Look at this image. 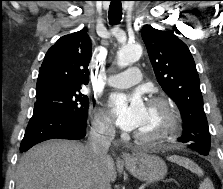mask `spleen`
<instances>
[{"label": "spleen", "mask_w": 223, "mask_h": 189, "mask_svg": "<svg viewBox=\"0 0 223 189\" xmlns=\"http://www.w3.org/2000/svg\"><path fill=\"white\" fill-rule=\"evenodd\" d=\"M168 160L174 162L180 166L185 167L186 169L190 170L191 172L197 174L198 176L203 175V170L195 164L192 160L184 157H180L177 155L168 157ZM199 189H214L213 184L209 178L204 179L203 182L199 185Z\"/></svg>", "instance_id": "obj_1"}]
</instances>
